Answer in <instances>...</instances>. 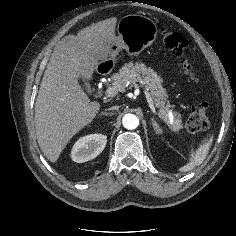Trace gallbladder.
<instances>
[{
  "label": "gallbladder",
  "instance_id": "gallbladder-1",
  "mask_svg": "<svg viewBox=\"0 0 236 236\" xmlns=\"http://www.w3.org/2000/svg\"><path fill=\"white\" fill-rule=\"evenodd\" d=\"M82 80H83V79H82ZM83 81H84V83H85V85H86V89L89 91V90H90V86H89L87 80H83Z\"/></svg>",
  "mask_w": 236,
  "mask_h": 236
}]
</instances>
